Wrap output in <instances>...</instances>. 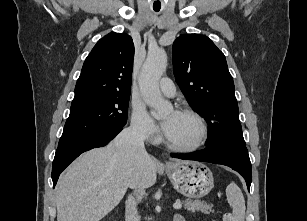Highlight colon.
Returning <instances> with one entry per match:
<instances>
[{
  "mask_svg": "<svg viewBox=\"0 0 307 221\" xmlns=\"http://www.w3.org/2000/svg\"><path fill=\"white\" fill-rule=\"evenodd\" d=\"M222 221H234V216L230 212H226L223 215Z\"/></svg>",
  "mask_w": 307,
  "mask_h": 221,
  "instance_id": "colon-1",
  "label": "colon"
}]
</instances>
